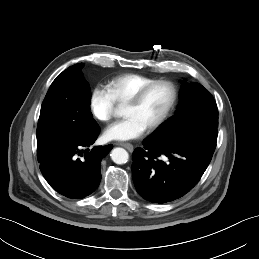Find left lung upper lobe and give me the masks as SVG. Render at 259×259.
Here are the masks:
<instances>
[{
    "instance_id": "left-lung-upper-lobe-1",
    "label": "left lung upper lobe",
    "mask_w": 259,
    "mask_h": 259,
    "mask_svg": "<svg viewBox=\"0 0 259 259\" xmlns=\"http://www.w3.org/2000/svg\"><path fill=\"white\" fill-rule=\"evenodd\" d=\"M176 114L149 138L171 143L187 133L203 129L217 132L218 109L213 96L199 83H184Z\"/></svg>"
}]
</instances>
